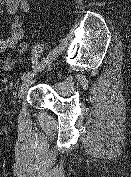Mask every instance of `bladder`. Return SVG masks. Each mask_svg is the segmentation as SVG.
<instances>
[{
  "label": "bladder",
  "mask_w": 131,
  "mask_h": 177,
  "mask_svg": "<svg viewBox=\"0 0 131 177\" xmlns=\"http://www.w3.org/2000/svg\"><path fill=\"white\" fill-rule=\"evenodd\" d=\"M10 65V61L5 62V66H9Z\"/></svg>",
  "instance_id": "obj_1"
}]
</instances>
